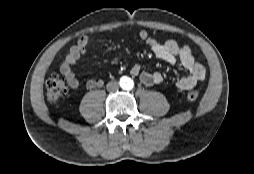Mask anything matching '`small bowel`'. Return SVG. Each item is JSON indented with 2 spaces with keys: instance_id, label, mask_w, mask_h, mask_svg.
Masks as SVG:
<instances>
[{
  "instance_id": "c3829d8e",
  "label": "small bowel",
  "mask_w": 254,
  "mask_h": 174,
  "mask_svg": "<svg viewBox=\"0 0 254 174\" xmlns=\"http://www.w3.org/2000/svg\"><path fill=\"white\" fill-rule=\"evenodd\" d=\"M139 38L149 46L157 58L170 65H178L187 72L186 76L176 81L178 89L189 90L205 80L206 69L195 60L188 45H178L174 40H167L162 43L156 38L151 37L146 30L139 32ZM89 46V37L86 35L81 36L76 44L71 46L60 67L61 73L65 76L73 90L80 87V82L72 68L85 54ZM130 72L134 76H139L141 83L145 86L161 84L164 81L162 73L157 71H142L139 65H133ZM86 85L88 88H97L103 85V81L101 79H89Z\"/></svg>"
}]
</instances>
